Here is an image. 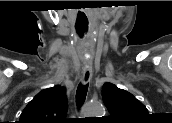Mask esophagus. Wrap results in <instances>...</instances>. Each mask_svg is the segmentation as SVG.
<instances>
[{
    "label": "esophagus",
    "instance_id": "1",
    "mask_svg": "<svg viewBox=\"0 0 172 123\" xmlns=\"http://www.w3.org/2000/svg\"><path fill=\"white\" fill-rule=\"evenodd\" d=\"M92 79V68L91 67H84L83 74H82V82L84 85L88 84Z\"/></svg>",
    "mask_w": 172,
    "mask_h": 123
}]
</instances>
